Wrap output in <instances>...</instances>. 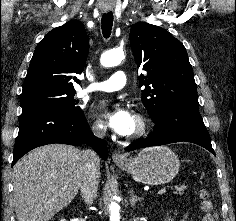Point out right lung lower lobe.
<instances>
[{
  "instance_id": "98d812e1",
  "label": "right lung lower lobe",
  "mask_w": 236,
  "mask_h": 221,
  "mask_svg": "<svg viewBox=\"0 0 236 221\" xmlns=\"http://www.w3.org/2000/svg\"><path fill=\"white\" fill-rule=\"evenodd\" d=\"M53 143L69 145L88 143L104 160L107 159L108 150L105 142L90 134L82 111L36 108L21 114L12 166L30 150Z\"/></svg>"
}]
</instances>
